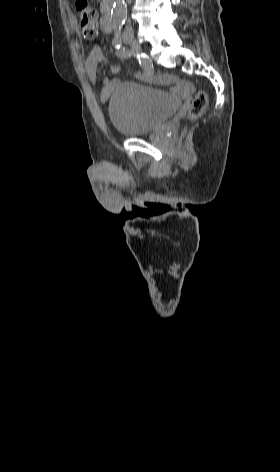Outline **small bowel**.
<instances>
[{
    "label": "small bowel",
    "instance_id": "small-bowel-1",
    "mask_svg": "<svg viewBox=\"0 0 280 472\" xmlns=\"http://www.w3.org/2000/svg\"><path fill=\"white\" fill-rule=\"evenodd\" d=\"M105 61V56L102 50L98 47H95L91 50L90 54L84 62L85 71L89 80L93 84H99L101 86L100 100L102 103H106L110 98L115 86L117 85V80H112L107 77H101L98 73V66L100 63ZM112 73H118L120 71L119 65H112L110 68ZM155 82L168 86L174 93L177 94H189L192 91V86L184 81H181L176 76L164 74L159 76Z\"/></svg>",
    "mask_w": 280,
    "mask_h": 472
}]
</instances>
